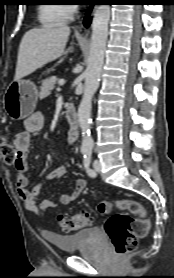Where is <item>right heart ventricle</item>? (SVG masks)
Instances as JSON below:
<instances>
[{
    "mask_svg": "<svg viewBox=\"0 0 174 278\" xmlns=\"http://www.w3.org/2000/svg\"><path fill=\"white\" fill-rule=\"evenodd\" d=\"M71 17L69 7L65 4L47 3L39 7V20L46 27L66 23Z\"/></svg>",
    "mask_w": 174,
    "mask_h": 278,
    "instance_id": "1",
    "label": "right heart ventricle"
}]
</instances>
